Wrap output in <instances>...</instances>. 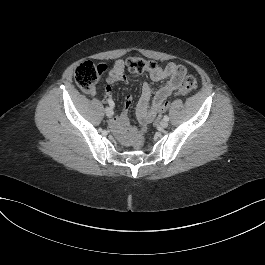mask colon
<instances>
[{
	"mask_svg": "<svg viewBox=\"0 0 265 265\" xmlns=\"http://www.w3.org/2000/svg\"><path fill=\"white\" fill-rule=\"evenodd\" d=\"M126 67L129 72L135 74H141L144 72H151L156 67L157 64L152 60H146L140 57H132L126 61ZM98 66L93 64L91 61H85L80 63L75 69V81L77 85L85 92H90L94 89L99 76ZM197 87V79L192 74H187L180 86L178 87L177 94H187ZM169 107V102L165 101L160 106H158L153 113H151L147 122L151 121L152 118L161 112H164ZM134 148L141 150L145 145V132L141 130L134 139Z\"/></svg>",
	"mask_w": 265,
	"mask_h": 265,
	"instance_id": "colon-1",
	"label": "colon"
}]
</instances>
